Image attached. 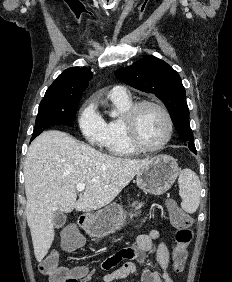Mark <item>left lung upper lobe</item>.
I'll list each match as a JSON object with an SVG mask.
<instances>
[{
  "label": "left lung upper lobe",
  "mask_w": 232,
  "mask_h": 282,
  "mask_svg": "<svg viewBox=\"0 0 232 282\" xmlns=\"http://www.w3.org/2000/svg\"><path fill=\"white\" fill-rule=\"evenodd\" d=\"M115 75L122 82L158 97L168 109L181 138L188 142V146H195L185 88L171 66L150 55L129 67L118 69Z\"/></svg>",
  "instance_id": "obj_1"
}]
</instances>
